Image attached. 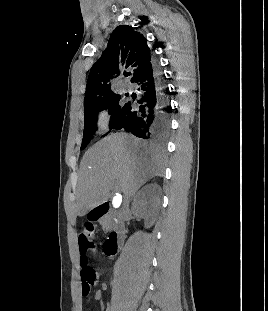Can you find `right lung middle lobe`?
I'll return each mask as SVG.
<instances>
[{
  "mask_svg": "<svg viewBox=\"0 0 268 311\" xmlns=\"http://www.w3.org/2000/svg\"><path fill=\"white\" fill-rule=\"evenodd\" d=\"M124 104L125 103L121 100V96L114 93L101 100L85 112L84 133L81 149H84L89 144L90 139L96 132L98 113L102 110L108 109V113L111 114L110 129H112Z\"/></svg>",
  "mask_w": 268,
  "mask_h": 311,
  "instance_id": "obj_1",
  "label": "right lung middle lobe"
}]
</instances>
